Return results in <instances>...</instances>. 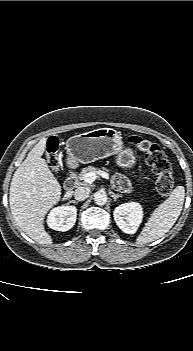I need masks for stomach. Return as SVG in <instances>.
<instances>
[{
  "instance_id": "stomach-1",
  "label": "stomach",
  "mask_w": 193,
  "mask_h": 351,
  "mask_svg": "<svg viewBox=\"0 0 193 351\" xmlns=\"http://www.w3.org/2000/svg\"><path fill=\"white\" fill-rule=\"evenodd\" d=\"M69 162L88 164L116 155V164L122 169H131L136 156L131 148H125L121 134L112 128H99L72 136L67 140Z\"/></svg>"
}]
</instances>
